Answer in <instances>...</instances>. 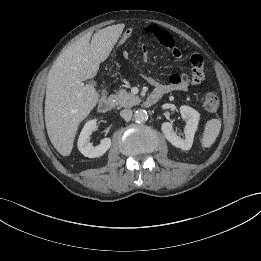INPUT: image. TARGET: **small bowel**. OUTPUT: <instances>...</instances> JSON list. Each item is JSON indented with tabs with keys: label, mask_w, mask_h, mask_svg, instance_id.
<instances>
[{
	"label": "small bowel",
	"mask_w": 261,
	"mask_h": 261,
	"mask_svg": "<svg viewBox=\"0 0 261 261\" xmlns=\"http://www.w3.org/2000/svg\"><path fill=\"white\" fill-rule=\"evenodd\" d=\"M146 30L151 38L159 41L174 57L180 58L182 56L180 49L176 46L175 41L170 33L154 25H148ZM142 47L143 55L145 58H147V46L143 44ZM191 62L192 70L190 76L183 74H172L168 83H161L154 78H149L148 81L154 86V91L161 92L162 95L172 91H187L190 86L197 85L203 80V66L201 56L197 53H194L191 56Z\"/></svg>",
	"instance_id": "obj_1"
}]
</instances>
